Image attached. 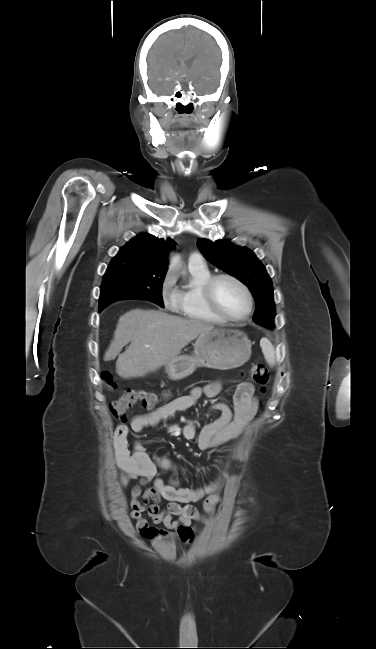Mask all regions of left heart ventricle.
I'll list each match as a JSON object with an SVG mask.
<instances>
[{
    "mask_svg": "<svg viewBox=\"0 0 376 649\" xmlns=\"http://www.w3.org/2000/svg\"><path fill=\"white\" fill-rule=\"evenodd\" d=\"M217 301L221 308L231 317L243 316L248 307L243 290L233 281L220 280L215 289Z\"/></svg>",
    "mask_w": 376,
    "mask_h": 649,
    "instance_id": "left-heart-ventricle-1",
    "label": "left heart ventricle"
}]
</instances>
